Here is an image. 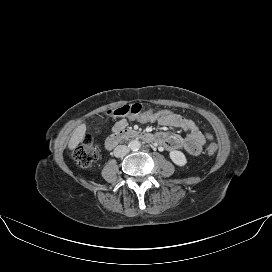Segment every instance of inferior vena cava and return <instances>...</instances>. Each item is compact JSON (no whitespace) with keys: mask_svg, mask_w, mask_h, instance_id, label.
Here are the masks:
<instances>
[{"mask_svg":"<svg viewBox=\"0 0 272 272\" xmlns=\"http://www.w3.org/2000/svg\"><path fill=\"white\" fill-rule=\"evenodd\" d=\"M129 153V148L126 145H118L114 149V156L117 158L124 157Z\"/></svg>","mask_w":272,"mask_h":272,"instance_id":"602c4592","label":"inferior vena cava"}]
</instances>
